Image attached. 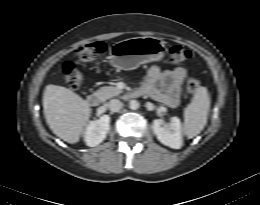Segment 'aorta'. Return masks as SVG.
<instances>
[{
  "label": "aorta",
  "mask_w": 260,
  "mask_h": 205,
  "mask_svg": "<svg viewBox=\"0 0 260 205\" xmlns=\"http://www.w3.org/2000/svg\"><path fill=\"white\" fill-rule=\"evenodd\" d=\"M140 104L137 100H131L129 103V107L132 110H137L139 108Z\"/></svg>",
  "instance_id": "aorta-1"
}]
</instances>
